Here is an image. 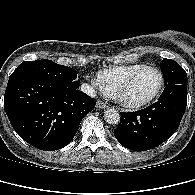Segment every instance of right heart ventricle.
Returning a JSON list of instances; mask_svg holds the SVG:
<instances>
[{
    "label": "right heart ventricle",
    "mask_w": 195,
    "mask_h": 195,
    "mask_svg": "<svg viewBox=\"0 0 195 195\" xmlns=\"http://www.w3.org/2000/svg\"><path fill=\"white\" fill-rule=\"evenodd\" d=\"M143 66L142 64L123 65L99 72L98 77L104 85L105 90L110 96L115 97L119 91L120 86L126 78L135 70Z\"/></svg>",
    "instance_id": "1"
}]
</instances>
